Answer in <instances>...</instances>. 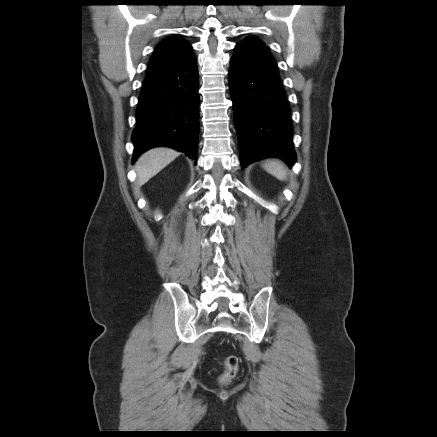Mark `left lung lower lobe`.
<instances>
[{"label":"left lung lower lobe","mask_w":437,"mask_h":437,"mask_svg":"<svg viewBox=\"0 0 437 437\" xmlns=\"http://www.w3.org/2000/svg\"><path fill=\"white\" fill-rule=\"evenodd\" d=\"M229 88L241 166L279 157L292 166L290 107L279 71L262 54L238 43L230 60Z\"/></svg>","instance_id":"1"}]
</instances>
